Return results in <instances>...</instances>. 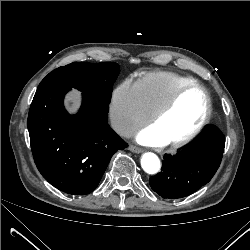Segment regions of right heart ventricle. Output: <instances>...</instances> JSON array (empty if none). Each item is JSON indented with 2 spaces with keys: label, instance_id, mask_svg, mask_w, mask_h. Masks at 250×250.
Masks as SVG:
<instances>
[{
  "label": "right heart ventricle",
  "instance_id": "obj_1",
  "mask_svg": "<svg viewBox=\"0 0 250 250\" xmlns=\"http://www.w3.org/2000/svg\"><path fill=\"white\" fill-rule=\"evenodd\" d=\"M192 82H194L192 78L184 75L158 71L140 77L136 85L147 110L153 116L177 88Z\"/></svg>",
  "mask_w": 250,
  "mask_h": 250
}]
</instances>
